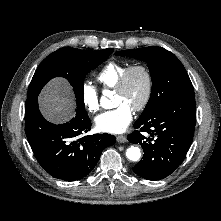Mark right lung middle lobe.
<instances>
[{"label": "right lung middle lobe", "mask_w": 221, "mask_h": 221, "mask_svg": "<svg viewBox=\"0 0 221 221\" xmlns=\"http://www.w3.org/2000/svg\"><path fill=\"white\" fill-rule=\"evenodd\" d=\"M114 51L112 48L88 51L63 47L47 56L38 66L28 89L27 100L37 98L43 86L54 77L66 78L73 87L77 107L84 109L83 80Z\"/></svg>", "instance_id": "dd1d6c3e"}]
</instances>
